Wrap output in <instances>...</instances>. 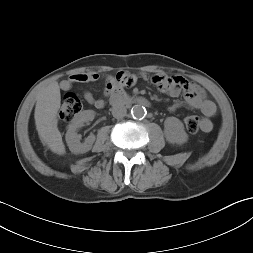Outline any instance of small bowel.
Instances as JSON below:
<instances>
[{
	"label": "small bowel",
	"instance_id": "small-bowel-1",
	"mask_svg": "<svg viewBox=\"0 0 253 253\" xmlns=\"http://www.w3.org/2000/svg\"><path fill=\"white\" fill-rule=\"evenodd\" d=\"M139 77L148 79V75L145 73L135 75L128 72H119L115 76L107 75L105 77L106 92L115 86H131L136 83ZM100 78L101 76L95 72L77 73L62 81L60 86L62 90L67 91L76 84L93 83L97 82ZM151 81L159 91L169 95L170 97L176 98L181 94L183 95V100L174 102L172 105H170V111L174 112L184 107L198 109L204 116L202 118V131L209 132L212 130L213 123L210 118L216 114V106L211 100L206 97L204 91L201 88L195 84H192L182 76H169L163 73L153 75L151 77ZM84 98L88 103L94 105L96 108H102L105 105L104 99L96 98L89 91H86L84 93Z\"/></svg>",
	"mask_w": 253,
	"mask_h": 253
}]
</instances>
